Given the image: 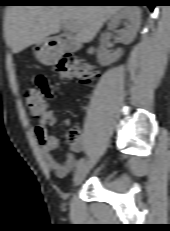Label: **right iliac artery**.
<instances>
[{
	"mask_svg": "<svg viewBox=\"0 0 170 231\" xmlns=\"http://www.w3.org/2000/svg\"><path fill=\"white\" fill-rule=\"evenodd\" d=\"M84 163H85V159L82 158V159H80V160L78 161L76 167L79 168V167H81L82 165H84Z\"/></svg>",
	"mask_w": 170,
	"mask_h": 231,
	"instance_id": "right-iliac-artery-1",
	"label": "right iliac artery"
}]
</instances>
